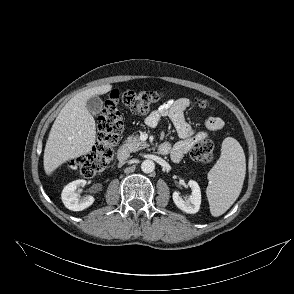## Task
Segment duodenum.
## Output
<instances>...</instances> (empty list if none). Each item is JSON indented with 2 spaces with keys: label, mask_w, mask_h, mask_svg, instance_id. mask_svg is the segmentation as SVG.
Listing matches in <instances>:
<instances>
[{
  "label": "duodenum",
  "mask_w": 294,
  "mask_h": 294,
  "mask_svg": "<svg viewBox=\"0 0 294 294\" xmlns=\"http://www.w3.org/2000/svg\"><path fill=\"white\" fill-rule=\"evenodd\" d=\"M169 151V145L167 143H161L157 147V152L161 155L167 154ZM117 158L121 163H125L128 159V152L125 147H119L117 151Z\"/></svg>",
  "instance_id": "1"
}]
</instances>
